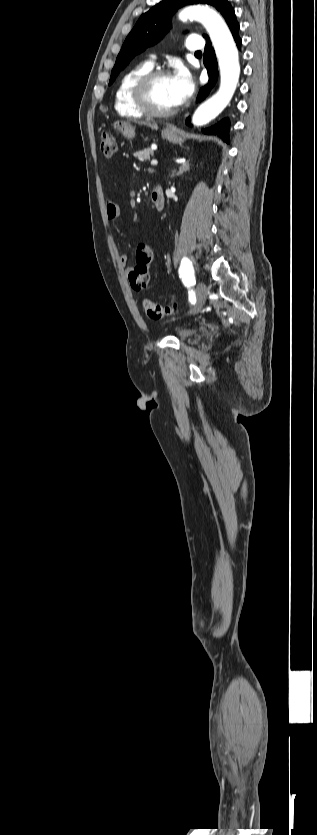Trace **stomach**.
Wrapping results in <instances>:
<instances>
[{
	"instance_id": "obj_1",
	"label": "stomach",
	"mask_w": 317,
	"mask_h": 835,
	"mask_svg": "<svg viewBox=\"0 0 317 835\" xmlns=\"http://www.w3.org/2000/svg\"><path fill=\"white\" fill-rule=\"evenodd\" d=\"M113 128L120 132L126 138H133L135 136V128L126 121H115L113 123ZM162 138L168 140L174 144H182L187 137V135L172 126H166L162 130Z\"/></svg>"
}]
</instances>
